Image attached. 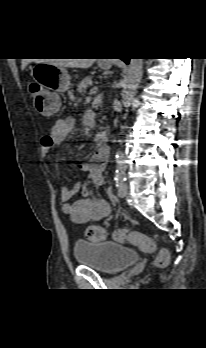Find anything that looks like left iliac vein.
<instances>
[{"label":"left iliac vein","instance_id":"obj_1","mask_svg":"<svg viewBox=\"0 0 206 348\" xmlns=\"http://www.w3.org/2000/svg\"><path fill=\"white\" fill-rule=\"evenodd\" d=\"M127 194H128V184L124 183L118 189V196L121 198H124L127 196Z\"/></svg>","mask_w":206,"mask_h":348}]
</instances>
